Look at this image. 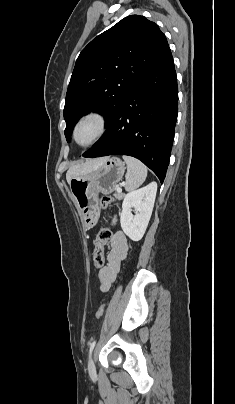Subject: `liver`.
Wrapping results in <instances>:
<instances>
[{"mask_svg": "<svg viewBox=\"0 0 235 404\" xmlns=\"http://www.w3.org/2000/svg\"><path fill=\"white\" fill-rule=\"evenodd\" d=\"M106 159L107 158H97V159H92V160H88L86 162L72 165L66 173L67 182L70 184V181L74 177L86 174V173L91 172L92 170L98 168L99 166H101L103 164V162Z\"/></svg>", "mask_w": 235, "mask_h": 404, "instance_id": "liver-1", "label": "liver"}]
</instances>
